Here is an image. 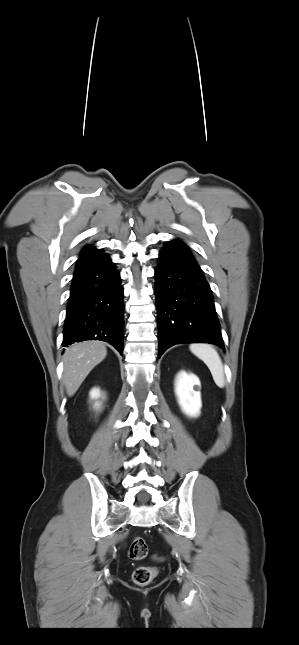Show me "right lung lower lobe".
Listing matches in <instances>:
<instances>
[{"instance_id": "obj_1", "label": "right lung lower lobe", "mask_w": 299, "mask_h": 645, "mask_svg": "<svg viewBox=\"0 0 299 645\" xmlns=\"http://www.w3.org/2000/svg\"><path fill=\"white\" fill-rule=\"evenodd\" d=\"M123 288L114 263L105 257L75 270L63 330V346L105 341L123 353Z\"/></svg>"}]
</instances>
